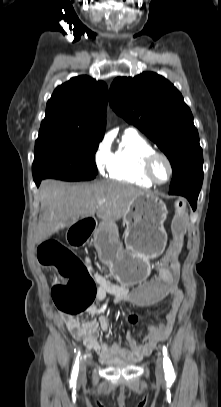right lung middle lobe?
Returning <instances> with one entry per match:
<instances>
[{
  "label": "right lung middle lobe",
  "instance_id": "1",
  "mask_svg": "<svg viewBox=\"0 0 221 407\" xmlns=\"http://www.w3.org/2000/svg\"><path fill=\"white\" fill-rule=\"evenodd\" d=\"M100 141L67 133H39L35 142L33 177L66 181L94 179L97 174L95 152Z\"/></svg>",
  "mask_w": 221,
  "mask_h": 407
}]
</instances>
